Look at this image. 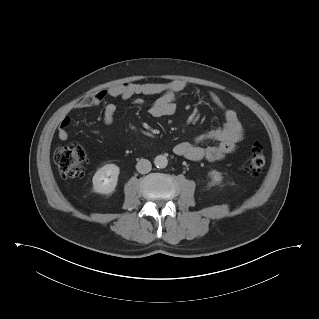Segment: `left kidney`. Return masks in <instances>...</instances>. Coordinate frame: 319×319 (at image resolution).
<instances>
[{
  "mask_svg": "<svg viewBox=\"0 0 319 319\" xmlns=\"http://www.w3.org/2000/svg\"><path fill=\"white\" fill-rule=\"evenodd\" d=\"M209 175L215 183H220L222 181L221 173L218 171L213 170L209 173Z\"/></svg>",
  "mask_w": 319,
  "mask_h": 319,
  "instance_id": "5707ae66",
  "label": "left kidney"
}]
</instances>
